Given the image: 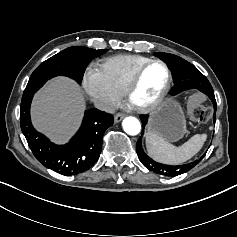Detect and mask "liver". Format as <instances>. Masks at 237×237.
<instances>
[{
    "mask_svg": "<svg viewBox=\"0 0 237 237\" xmlns=\"http://www.w3.org/2000/svg\"><path fill=\"white\" fill-rule=\"evenodd\" d=\"M85 108L81 87L72 79L57 77L35 94L31 119L34 127L52 142L64 144L78 129Z\"/></svg>",
    "mask_w": 237,
    "mask_h": 237,
    "instance_id": "obj_1",
    "label": "liver"
}]
</instances>
